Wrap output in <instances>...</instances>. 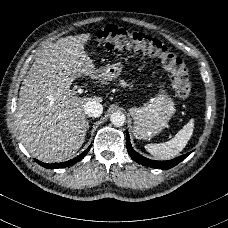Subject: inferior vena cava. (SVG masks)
I'll return each instance as SVG.
<instances>
[{"mask_svg": "<svg viewBox=\"0 0 228 228\" xmlns=\"http://www.w3.org/2000/svg\"><path fill=\"white\" fill-rule=\"evenodd\" d=\"M103 112L102 104L93 100L87 101L84 105V113L87 117H99Z\"/></svg>", "mask_w": 228, "mask_h": 228, "instance_id": "inferior-vena-cava-1", "label": "inferior vena cava"}]
</instances>
